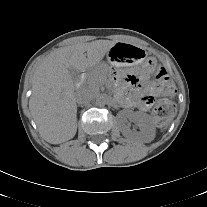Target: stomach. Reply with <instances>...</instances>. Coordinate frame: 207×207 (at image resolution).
<instances>
[{
    "instance_id": "obj_1",
    "label": "stomach",
    "mask_w": 207,
    "mask_h": 207,
    "mask_svg": "<svg viewBox=\"0 0 207 207\" xmlns=\"http://www.w3.org/2000/svg\"><path fill=\"white\" fill-rule=\"evenodd\" d=\"M108 61L116 66H137L148 60L147 52L137 46L116 42L107 52Z\"/></svg>"
}]
</instances>
